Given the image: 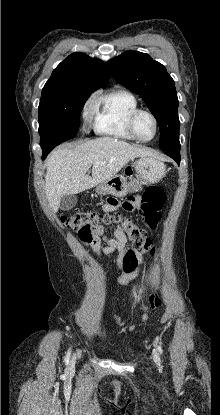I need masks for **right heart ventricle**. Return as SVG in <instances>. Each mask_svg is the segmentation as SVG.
I'll return each mask as SVG.
<instances>
[{
	"label": "right heart ventricle",
	"instance_id": "e07e8e85",
	"mask_svg": "<svg viewBox=\"0 0 220 415\" xmlns=\"http://www.w3.org/2000/svg\"><path fill=\"white\" fill-rule=\"evenodd\" d=\"M138 108L136 97L124 90H114L95 99L94 123L96 133L123 140H135L128 129V118Z\"/></svg>",
	"mask_w": 220,
	"mask_h": 415
}]
</instances>
